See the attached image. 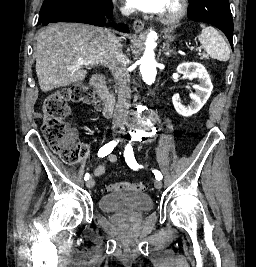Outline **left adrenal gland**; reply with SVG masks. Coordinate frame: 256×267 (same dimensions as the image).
Returning <instances> with one entry per match:
<instances>
[{
    "label": "left adrenal gland",
    "instance_id": "obj_1",
    "mask_svg": "<svg viewBox=\"0 0 256 267\" xmlns=\"http://www.w3.org/2000/svg\"><path fill=\"white\" fill-rule=\"evenodd\" d=\"M164 54L165 56H171V54H177V52H174V50H171L170 44H164Z\"/></svg>",
    "mask_w": 256,
    "mask_h": 267
}]
</instances>
